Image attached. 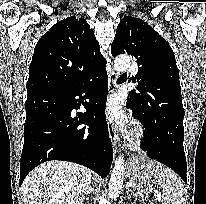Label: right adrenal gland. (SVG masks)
I'll use <instances>...</instances> for the list:
<instances>
[{
  "mask_svg": "<svg viewBox=\"0 0 206 204\" xmlns=\"http://www.w3.org/2000/svg\"><path fill=\"white\" fill-rule=\"evenodd\" d=\"M92 191H93V188H92V187H89V188H88V191H87V195L90 194ZM84 200H85V199H84Z\"/></svg>",
  "mask_w": 206,
  "mask_h": 204,
  "instance_id": "right-adrenal-gland-1",
  "label": "right adrenal gland"
}]
</instances>
